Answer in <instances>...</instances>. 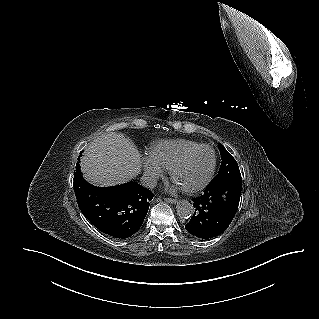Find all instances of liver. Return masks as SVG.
<instances>
[{"mask_svg": "<svg viewBox=\"0 0 319 319\" xmlns=\"http://www.w3.org/2000/svg\"><path fill=\"white\" fill-rule=\"evenodd\" d=\"M140 153L121 133L101 135L88 145L81 159L85 178L99 186L131 180L140 172Z\"/></svg>", "mask_w": 319, "mask_h": 319, "instance_id": "liver-1", "label": "liver"}]
</instances>
